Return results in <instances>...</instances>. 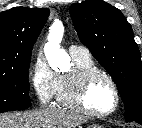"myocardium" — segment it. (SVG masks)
<instances>
[{
	"instance_id": "obj_1",
	"label": "myocardium",
	"mask_w": 142,
	"mask_h": 128,
	"mask_svg": "<svg viewBox=\"0 0 142 128\" xmlns=\"http://www.w3.org/2000/svg\"><path fill=\"white\" fill-rule=\"evenodd\" d=\"M99 77L108 81L115 96L114 107L107 112L95 111L88 107L86 103L87 91L92 82ZM67 86L71 106L83 114L103 118L114 114L119 108L121 97L117 84L108 73L99 68L74 69V71L67 76Z\"/></svg>"
}]
</instances>
